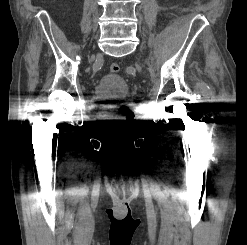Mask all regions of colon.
I'll return each instance as SVG.
<instances>
[{
	"label": "colon",
	"mask_w": 247,
	"mask_h": 245,
	"mask_svg": "<svg viewBox=\"0 0 247 245\" xmlns=\"http://www.w3.org/2000/svg\"><path fill=\"white\" fill-rule=\"evenodd\" d=\"M109 70L111 73H118L119 70H120V67L117 63H112L110 66H109ZM125 117L126 119H129L130 118V113L129 112H126L125 113Z\"/></svg>",
	"instance_id": "obj_1"
}]
</instances>
